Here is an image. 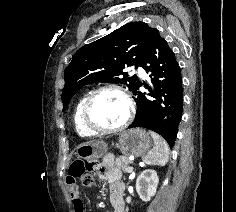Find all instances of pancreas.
<instances>
[{
  "label": "pancreas",
  "mask_w": 236,
  "mask_h": 212,
  "mask_svg": "<svg viewBox=\"0 0 236 212\" xmlns=\"http://www.w3.org/2000/svg\"><path fill=\"white\" fill-rule=\"evenodd\" d=\"M129 163H130L129 158L127 156L123 155V156H119L118 158H116L115 166L124 172L131 173L132 170L129 167Z\"/></svg>",
  "instance_id": "pancreas-1"
}]
</instances>
